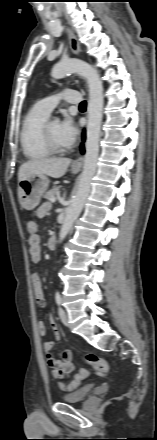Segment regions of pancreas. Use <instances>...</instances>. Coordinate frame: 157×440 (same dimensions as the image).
I'll return each instance as SVG.
<instances>
[{
    "label": "pancreas",
    "instance_id": "1",
    "mask_svg": "<svg viewBox=\"0 0 157 440\" xmlns=\"http://www.w3.org/2000/svg\"><path fill=\"white\" fill-rule=\"evenodd\" d=\"M58 191H59V187H54L44 195V198L50 200L52 197H55Z\"/></svg>",
    "mask_w": 157,
    "mask_h": 440
}]
</instances>
